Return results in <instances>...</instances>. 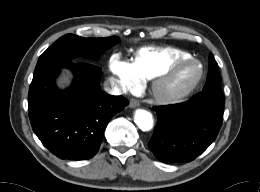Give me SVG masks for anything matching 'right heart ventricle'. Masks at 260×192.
I'll list each match as a JSON object with an SVG mask.
<instances>
[{"label": "right heart ventricle", "mask_w": 260, "mask_h": 192, "mask_svg": "<svg viewBox=\"0 0 260 192\" xmlns=\"http://www.w3.org/2000/svg\"><path fill=\"white\" fill-rule=\"evenodd\" d=\"M189 57L187 52L177 48H143L137 53L133 67L140 79L150 80Z\"/></svg>", "instance_id": "e07e8e85"}]
</instances>
